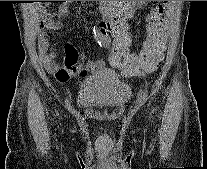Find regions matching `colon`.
<instances>
[{
  "mask_svg": "<svg viewBox=\"0 0 207 169\" xmlns=\"http://www.w3.org/2000/svg\"><path fill=\"white\" fill-rule=\"evenodd\" d=\"M166 1L157 5L152 11L147 26V39L143 48L137 54L126 56L127 42L111 44L117 63L129 73L137 74L148 68H156V63L162 58L165 46L164 23Z\"/></svg>",
  "mask_w": 207,
  "mask_h": 169,
  "instance_id": "obj_1",
  "label": "colon"
}]
</instances>
